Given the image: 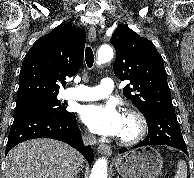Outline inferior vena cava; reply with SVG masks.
Masks as SVG:
<instances>
[{
	"label": "inferior vena cava",
	"instance_id": "602c4592",
	"mask_svg": "<svg viewBox=\"0 0 194 178\" xmlns=\"http://www.w3.org/2000/svg\"><path fill=\"white\" fill-rule=\"evenodd\" d=\"M83 141L85 144H88V145H95L96 144V137L94 135H91L89 133H85L83 135Z\"/></svg>",
	"mask_w": 194,
	"mask_h": 178
}]
</instances>
